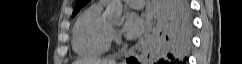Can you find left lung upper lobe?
<instances>
[{
  "label": "left lung upper lobe",
  "mask_w": 242,
  "mask_h": 64,
  "mask_svg": "<svg viewBox=\"0 0 242 64\" xmlns=\"http://www.w3.org/2000/svg\"><path fill=\"white\" fill-rule=\"evenodd\" d=\"M90 0H77L76 5H75V9L73 11L72 17L75 16L79 10L85 6Z\"/></svg>",
  "instance_id": "left-lung-upper-lobe-1"
}]
</instances>
